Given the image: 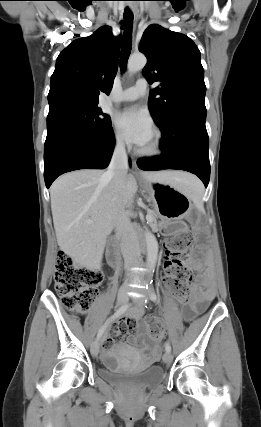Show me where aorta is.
<instances>
[{
  "label": "aorta",
  "instance_id": "762f6f07",
  "mask_svg": "<svg viewBox=\"0 0 261 427\" xmlns=\"http://www.w3.org/2000/svg\"><path fill=\"white\" fill-rule=\"evenodd\" d=\"M147 59L143 54L132 55L127 63V71L129 74L136 73L144 68ZM146 250H147V268L150 272L156 266L158 258V242L153 233L145 232Z\"/></svg>",
  "mask_w": 261,
  "mask_h": 427
}]
</instances>
